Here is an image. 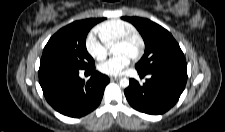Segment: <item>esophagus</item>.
<instances>
[{
    "instance_id": "obj_1",
    "label": "esophagus",
    "mask_w": 225,
    "mask_h": 132,
    "mask_svg": "<svg viewBox=\"0 0 225 132\" xmlns=\"http://www.w3.org/2000/svg\"><path fill=\"white\" fill-rule=\"evenodd\" d=\"M119 79H120V77H113V76L110 77L111 81H115V80H119Z\"/></svg>"
}]
</instances>
